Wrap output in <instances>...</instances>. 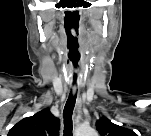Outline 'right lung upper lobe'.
<instances>
[{"label":"right lung upper lobe","mask_w":151,"mask_h":136,"mask_svg":"<svg viewBox=\"0 0 151 136\" xmlns=\"http://www.w3.org/2000/svg\"><path fill=\"white\" fill-rule=\"evenodd\" d=\"M60 122L48 109L26 117L15 124L9 134L12 136H58Z\"/></svg>","instance_id":"right-lung-upper-lobe-1"}]
</instances>
